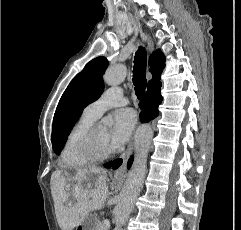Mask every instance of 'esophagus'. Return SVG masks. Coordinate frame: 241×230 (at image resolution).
I'll list each match as a JSON object with an SVG mask.
<instances>
[{"mask_svg":"<svg viewBox=\"0 0 241 230\" xmlns=\"http://www.w3.org/2000/svg\"><path fill=\"white\" fill-rule=\"evenodd\" d=\"M147 44H148V49L149 51H153L154 45H153V41L151 38L147 39ZM133 146H134V137L131 138V141L127 147V149L125 150V152L122 154L121 158L123 159V163L122 165L115 171V176H120L123 175L126 171V163L127 160L129 158V156L131 155L132 151H133Z\"/></svg>","mask_w":241,"mask_h":230,"instance_id":"1","label":"esophagus"}]
</instances>
